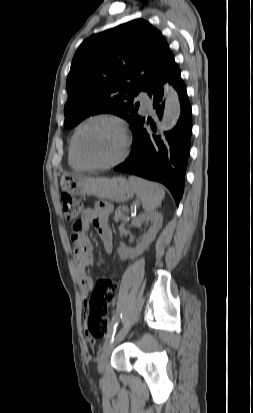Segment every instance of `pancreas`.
<instances>
[{"instance_id": "1", "label": "pancreas", "mask_w": 253, "mask_h": 413, "mask_svg": "<svg viewBox=\"0 0 253 413\" xmlns=\"http://www.w3.org/2000/svg\"><path fill=\"white\" fill-rule=\"evenodd\" d=\"M127 212H128V208L126 206L118 207L114 215L115 222H118L120 220H125L126 219L125 213Z\"/></svg>"}]
</instances>
